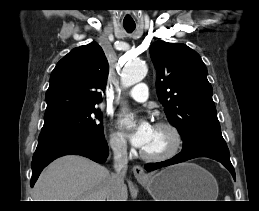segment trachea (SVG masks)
<instances>
[{
  "instance_id": "trachea-1",
  "label": "trachea",
  "mask_w": 259,
  "mask_h": 211,
  "mask_svg": "<svg viewBox=\"0 0 259 211\" xmlns=\"http://www.w3.org/2000/svg\"><path fill=\"white\" fill-rule=\"evenodd\" d=\"M124 28L128 31V32H132L135 29V26H124Z\"/></svg>"
}]
</instances>
